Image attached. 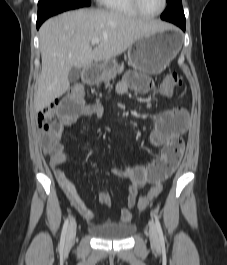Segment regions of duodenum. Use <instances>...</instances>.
I'll return each instance as SVG.
<instances>
[{
	"label": "duodenum",
	"instance_id": "410a0bca",
	"mask_svg": "<svg viewBox=\"0 0 227 265\" xmlns=\"http://www.w3.org/2000/svg\"><path fill=\"white\" fill-rule=\"evenodd\" d=\"M83 81L85 83H92L94 81L95 78V73H94V69L93 68H86L83 72Z\"/></svg>",
	"mask_w": 227,
	"mask_h": 265
}]
</instances>
